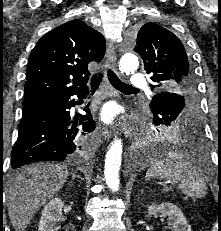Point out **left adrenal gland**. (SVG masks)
Here are the masks:
<instances>
[{
  "label": "left adrenal gland",
  "instance_id": "1",
  "mask_svg": "<svg viewBox=\"0 0 221 231\" xmlns=\"http://www.w3.org/2000/svg\"><path fill=\"white\" fill-rule=\"evenodd\" d=\"M143 191H144V190L142 189V190H141V194H143Z\"/></svg>",
  "mask_w": 221,
  "mask_h": 231
}]
</instances>
